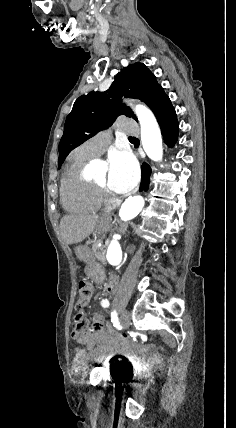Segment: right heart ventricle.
<instances>
[{
	"mask_svg": "<svg viewBox=\"0 0 236 428\" xmlns=\"http://www.w3.org/2000/svg\"><path fill=\"white\" fill-rule=\"evenodd\" d=\"M92 159L86 154L84 145L76 149L61 178L60 197L69 211L96 212L103 205L93 180L84 173L87 163Z\"/></svg>",
	"mask_w": 236,
	"mask_h": 428,
	"instance_id": "right-heart-ventricle-1",
	"label": "right heart ventricle"
}]
</instances>
